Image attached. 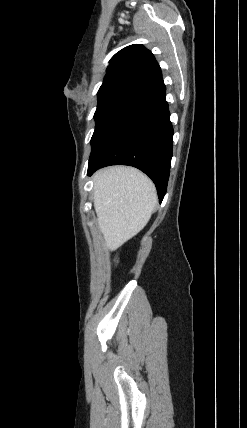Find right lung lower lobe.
<instances>
[{
	"label": "right lung lower lobe",
	"instance_id": "obj_1",
	"mask_svg": "<svg viewBox=\"0 0 247 428\" xmlns=\"http://www.w3.org/2000/svg\"><path fill=\"white\" fill-rule=\"evenodd\" d=\"M163 80L140 93L103 129L92 145L88 174L108 165L134 166L155 183L159 202L166 193L173 128Z\"/></svg>",
	"mask_w": 247,
	"mask_h": 428
}]
</instances>
